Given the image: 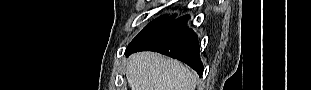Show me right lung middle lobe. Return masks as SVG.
<instances>
[{
  "label": "right lung middle lobe",
  "mask_w": 311,
  "mask_h": 90,
  "mask_svg": "<svg viewBox=\"0 0 311 90\" xmlns=\"http://www.w3.org/2000/svg\"><path fill=\"white\" fill-rule=\"evenodd\" d=\"M175 18V15L172 16H161L155 19L154 21L150 22L133 40L131 43H135L143 39L145 36L149 35L150 33L154 32L155 30L159 29L160 27L166 25L170 21Z\"/></svg>",
  "instance_id": "dd1d6c3e"
}]
</instances>
